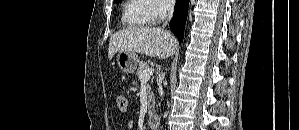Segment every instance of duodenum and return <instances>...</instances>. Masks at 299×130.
Instances as JSON below:
<instances>
[{"instance_id":"410a0bca","label":"duodenum","mask_w":299,"mask_h":130,"mask_svg":"<svg viewBox=\"0 0 299 130\" xmlns=\"http://www.w3.org/2000/svg\"><path fill=\"white\" fill-rule=\"evenodd\" d=\"M147 124L151 129H157L159 126L158 116L155 114H150L147 118Z\"/></svg>"}]
</instances>
